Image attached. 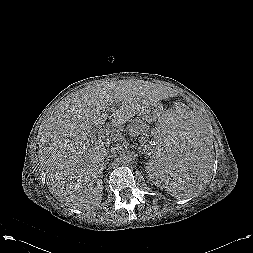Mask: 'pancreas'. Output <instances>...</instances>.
I'll return each instance as SVG.
<instances>
[{
    "mask_svg": "<svg viewBox=\"0 0 253 253\" xmlns=\"http://www.w3.org/2000/svg\"><path fill=\"white\" fill-rule=\"evenodd\" d=\"M124 131H128L132 136L140 135L141 143L144 145L148 141L149 126L140 119L131 121ZM118 136L122 138V133H118Z\"/></svg>",
    "mask_w": 253,
    "mask_h": 253,
    "instance_id": "pancreas-1",
    "label": "pancreas"
}]
</instances>
